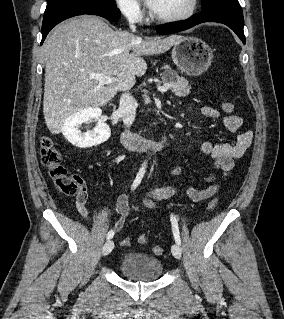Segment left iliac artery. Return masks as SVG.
Here are the masks:
<instances>
[{"mask_svg":"<svg viewBox=\"0 0 284 319\" xmlns=\"http://www.w3.org/2000/svg\"><path fill=\"white\" fill-rule=\"evenodd\" d=\"M170 220H171V224H172V231H173L175 242L178 245H181V239H180L179 227H178L177 219H176V217L173 214H171Z\"/></svg>","mask_w":284,"mask_h":319,"instance_id":"left-iliac-artery-1","label":"left iliac artery"}]
</instances>
